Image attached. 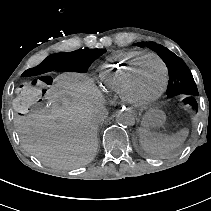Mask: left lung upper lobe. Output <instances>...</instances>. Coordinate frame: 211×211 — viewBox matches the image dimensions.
<instances>
[{
    "instance_id": "1",
    "label": "left lung upper lobe",
    "mask_w": 211,
    "mask_h": 211,
    "mask_svg": "<svg viewBox=\"0 0 211 211\" xmlns=\"http://www.w3.org/2000/svg\"><path fill=\"white\" fill-rule=\"evenodd\" d=\"M136 45L139 47L147 46L155 51L166 63L169 72V83L166 91L168 98L182 94L187 95L184 102L197 109L195 100V97L198 96L197 86L184 61L164 46L155 42H140Z\"/></svg>"
}]
</instances>
